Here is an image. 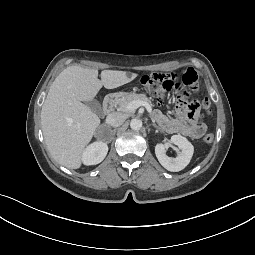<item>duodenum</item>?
Here are the masks:
<instances>
[{
    "label": "duodenum",
    "mask_w": 255,
    "mask_h": 255,
    "mask_svg": "<svg viewBox=\"0 0 255 255\" xmlns=\"http://www.w3.org/2000/svg\"><path fill=\"white\" fill-rule=\"evenodd\" d=\"M119 97V94H110L108 96L105 97L104 101H103V112L105 114H110L117 102V99Z\"/></svg>",
    "instance_id": "1"
}]
</instances>
